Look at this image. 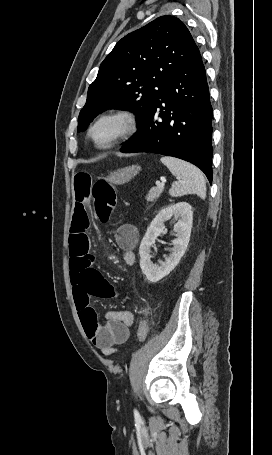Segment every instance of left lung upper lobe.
Wrapping results in <instances>:
<instances>
[{
  "label": "left lung upper lobe",
  "mask_w": 272,
  "mask_h": 455,
  "mask_svg": "<svg viewBox=\"0 0 272 455\" xmlns=\"http://www.w3.org/2000/svg\"><path fill=\"white\" fill-rule=\"evenodd\" d=\"M200 54L184 23L161 16L123 37L101 63L89 86L77 132L107 109L137 116V125L163 94L169 78Z\"/></svg>",
  "instance_id": "5c2ea615"
}]
</instances>
